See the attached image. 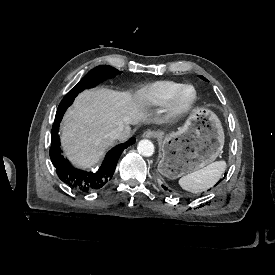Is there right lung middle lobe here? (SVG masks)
Returning <instances> with one entry per match:
<instances>
[{
  "label": "right lung middle lobe",
  "instance_id": "1",
  "mask_svg": "<svg viewBox=\"0 0 275 275\" xmlns=\"http://www.w3.org/2000/svg\"><path fill=\"white\" fill-rule=\"evenodd\" d=\"M119 73L121 72L108 65L97 66L89 71L87 75L66 94L61 102L73 101L74 98L84 89L92 88L104 79L114 77Z\"/></svg>",
  "mask_w": 275,
  "mask_h": 275
}]
</instances>
